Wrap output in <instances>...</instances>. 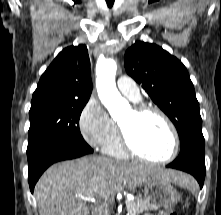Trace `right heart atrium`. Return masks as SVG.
Masks as SVG:
<instances>
[{"label": "right heart atrium", "instance_id": "1", "mask_svg": "<svg viewBox=\"0 0 221 215\" xmlns=\"http://www.w3.org/2000/svg\"><path fill=\"white\" fill-rule=\"evenodd\" d=\"M79 129L84 140L91 146H104L115 134L116 124L100 101L90 98L79 117Z\"/></svg>", "mask_w": 221, "mask_h": 215}]
</instances>
